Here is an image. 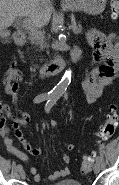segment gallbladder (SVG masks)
I'll return each instance as SVG.
<instances>
[{"instance_id": "obj_1", "label": "gallbladder", "mask_w": 119, "mask_h": 185, "mask_svg": "<svg viewBox=\"0 0 119 185\" xmlns=\"http://www.w3.org/2000/svg\"><path fill=\"white\" fill-rule=\"evenodd\" d=\"M10 36V31L7 29H0V38H2V41L8 42Z\"/></svg>"}]
</instances>
